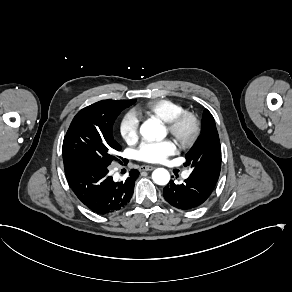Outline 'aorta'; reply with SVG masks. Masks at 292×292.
<instances>
[{
  "instance_id": "762f6f07",
  "label": "aorta",
  "mask_w": 292,
  "mask_h": 292,
  "mask_svg": "<svg viewBox=\"0 0 292 292\" xmlns=\"http://www.w3.org/2000/svg\"><path fill=\"white\" fill-rule=\"evenodd\" d=\"M140 133L143 137L163 139L166 136V129L158 120H147L140 127ZM153 181L158 185H166L170 180L169 172L164 168H157L152 173Z\"/></svg>"
}]
</instances>
